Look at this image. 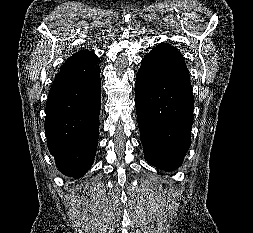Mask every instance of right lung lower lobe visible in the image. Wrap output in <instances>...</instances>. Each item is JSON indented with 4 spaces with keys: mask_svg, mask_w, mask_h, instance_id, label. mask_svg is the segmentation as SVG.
Here are the masks:
<instances>
[{
    "mask_svg": "<svg viewBox=\"0 0 253 233\" xmlns=\"http://www.w3.org/2000/svg\"><path fill=\"white\" fill-rule=\"evenodd\" d=\"M100 67L60 70L46 103L45 133L56 166L78 178L91 167L98 143Z\"/></svg>",
    "mask_w": 253,
    "mask_h": 233,
    "instance_id": "98d812e1",
    "label": "right lung lower lobe"
}]
</instances>
